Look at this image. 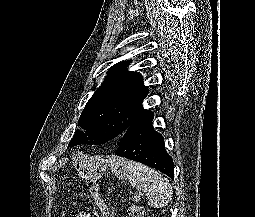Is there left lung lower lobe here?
<instances>
[{"label":"left lung lower lobe","mask_w":255,"mask_h":217,"mask_svg":"<svg viewBox=\"0 0 255 217\" xmlns=\"http://www.w3.org/2000/svg\"><path fill=\"white\" fill-rule=\"evenodd\" d=\"M153 113L146 111L123 134L116 155L155 168L173 179L172 158L164 147V139L153 128Z\"/></svg>","instance_id":"0a47b994"}]
</instances>
